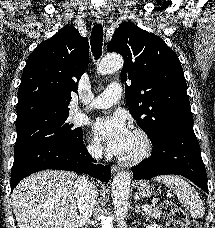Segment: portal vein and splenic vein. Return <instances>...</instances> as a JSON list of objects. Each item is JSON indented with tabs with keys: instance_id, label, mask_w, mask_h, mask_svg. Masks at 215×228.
Returning <instances> with one entry per match:
<instances>
[{
	"instance_id": "portal-vein-and-splenic-vein-1",
	"label": "portal vein and splenic vein",
	"mask_w": 215,
	"mask_h": 228,
	"mask_svg": "<svg viewBox=\"0 0 215 228\" xmlns=\"http://www.w3.org/2000/svg\"><path fill=\"white\" fill-rule=\"evenodd\" d=\"M149 208H152V206H143V210H145V212L146 210H149Z\"/></svg>"
}]
</instances>
